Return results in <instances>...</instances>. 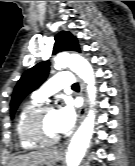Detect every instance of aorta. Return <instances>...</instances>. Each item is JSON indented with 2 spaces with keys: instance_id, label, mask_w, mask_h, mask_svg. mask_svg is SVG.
Segmentation results:
<instances>
[{
  "instance_id": "obj_1",
  "label": "aorta",
  "mask_w": 135,
  "mask_h": 166,
  "mask_svg": "<svg viewBox=\"0 0 135 166\" xmlns=\"http://www.w3.org/2000/svg\"><path fill=\"white\" fill-rule=\"evenodd\" d=\"M66 67L75 72L87 84L88 97L92 107L96 100L95 77L92 66L85 58L79 55L61 53L55 58V68L62 69ZM94 125L95 113L90 109L68 146L66 154L67 166H79L92 138Z\"/></svg>"
}]
</instances>
